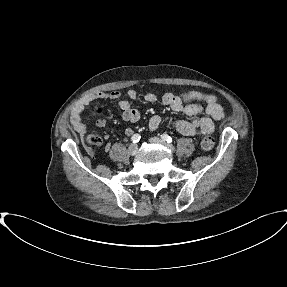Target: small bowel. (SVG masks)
<instances>
[{"instance_id": "c3829d8e", "label": "small bowel", "mask_w": 287, "mask_h": 287, "mask_svg": "<svg viewBox=\"0 0 287 287\" xmlns=\"http://www.w3.org/2000/svg\"><path fill=\"white\" fill-rule=\"evenodd\" d=\"M126 96L128 99L119 101L121 117L124 121L136 122L140 119V112L132 105L131 100L137 98V92L130 89L126 92ZM120 97L121 93L119 91L95 92L85 96L78 102L71 113L70 119L72 126L79 134L84 135L87 132V124L82 120V114L85 108L94 100H118ZM144 99L149 103H153L157 100V96L153 92H148L145 94ZM162 101L175 112H181L193 117L190 121H171L174 128L186 136H204L212 134L215 129V121H219L224 117L223 109L214 96L202 94L197 91H190L181 95L166 92L162 95ZM203 113L205 116H199ZM94 115L97 116L96 124L98 127H104L107 124V118L102 115L99 108L95 109ZM161 123L162 118L158 115H154L149 119L148 127L150 130L154 131L159 128ZM124 133L127 136H130L133 133V130L132 128L127 127L124 130ZM108 138L109 135L103 137L104 141H107ZM108 147L109 145L106 144V148Z\"/></svg>"}]
</instances>
